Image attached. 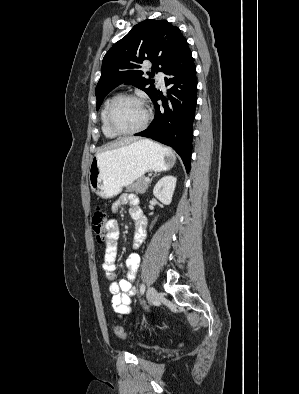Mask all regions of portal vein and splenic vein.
Masks as SVG:
<instances>
[{
    "label": "portal vein and splenic vein",
    "instance_id": "18ae733b",
    "mask_svg": "<svg viewBox=\"0 0 299 394\" xmlns=\"http://www.w3.org/2000/svg\"><path fill=\"white\" fill-rule=\"evenodd\" d=\"M146 182H150V179L148 177L145 178Z\"/></svg>",
    "mask_w": 299,
    "mask_h": 394
}]
</instances>
